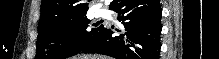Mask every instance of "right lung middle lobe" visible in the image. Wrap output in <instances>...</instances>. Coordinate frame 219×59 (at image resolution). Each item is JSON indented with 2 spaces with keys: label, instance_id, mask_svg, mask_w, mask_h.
Listing matches in <instances>:
<instances>
[{
  "label": "right lung middle lobe",
  "instance_id": "1",
  "mask_svg": "<svg viewBox=\"0 0 219 59\" xmlns=\"http://www.w3.org/2000/svg\"><path fill=\"white\" fill-rule=\"evenodd\" d=\"M86 14L50 21L38 27L35 59H65L80 53L105 29L90 25Z\"/></svg>",
  "mask_w": 219,
  "mask_h": 59
}]
</instances>
